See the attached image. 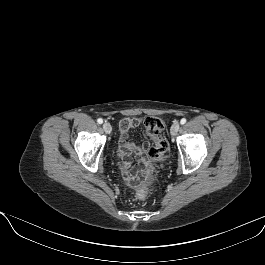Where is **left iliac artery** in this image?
Here are the masks:
<instances>
[{
	"label": "left iliac artery",
	"instance_id": "44dca946",
	"mask_svg": "<svg viewBox=\"0 0 265 265\" xmlns=\"http://www.w3.org/2000/svg\"><path fill=\"white\" fill-rule=\"evenodd\" d=\"M185 123H186V119H185V118H182V119L180 120V124L183 125V124H185Z\"/></svg>",
	"mask_w": 265,
	"mask_h": 265
}]
</instances>
